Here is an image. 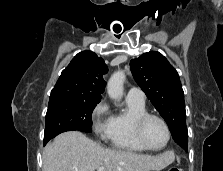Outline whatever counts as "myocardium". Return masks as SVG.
Instances as JSON below:
<instances>
[{"label": "myocardium", "instance_id": "obj_1", "mask_svg": "<svg viewBox=\"0 0 223 171\" xmlns=\"http://www.w3.org/2000/svg\"><path fill=\"white\" fill-rule=\"evenodd\" d=\"M151 118L159 120L164 125V127L167 131V139L161 147H152L151 145H149L147 143V141L144 138V135H143L144 126H145L146 122ZM134 134H135V137L138 140V142L143 147H145L147 150H151V151H159V150L164 149L168 145V143L171 139V129H170L169 124L167 123V121L162 116H160L158 114L148 113V112L138 116L135 119V121H134Z\"/></svg>", "mask_w": 223, "mask_h": 171}]
</instances>
